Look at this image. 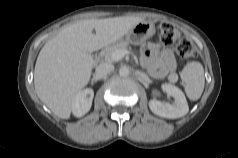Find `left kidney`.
Masks as SVG:
<instances>
[{"mask_svg":"<svg viewBox=\"0 0 238 158\" xmlns=\"http://www.w3.org/2000/svg\"><path fill=\"white\" fill-rule=\"evenodd\" d=\"M162 90L175 99L174 104L163 103L159 100H151L149 102L150 110L164 118L175 119L186 115L189 112V106L184 93L175 85L165 83Z\"/></svg>","mask_w":238,"mask_h":158,"instance_id":"1","label":"left kidney"}]
</instances>
